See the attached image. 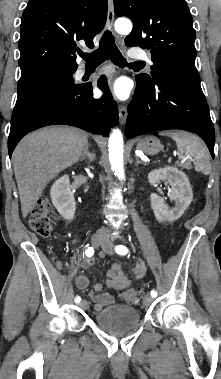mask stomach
<instances>
[{
	"label": "stomach",
	"mask_w": 221,
	"mask_h": 379,
	"mask_svg": "<svg viewBox=\"0 0 221 379\" xmlns=\"http://www.w3.org/2000/svg\"><path fill=\"white\" fill-rule=\"evenodd\" d=\"M137 148L146 154L154 155L162 149V145L156 137L148 136L138 142Z\"/></svg>",
	"instance_id": "0dacf381"
}]
</instances>
